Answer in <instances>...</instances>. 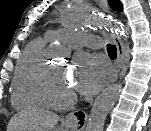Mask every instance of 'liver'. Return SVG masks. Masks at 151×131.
<instances>
[{
  "label": "liver",
  "mask_w": 151,
  "mask_h": 131,
  "mask_svg": "<svg viewBox=\"0 0 151 131\" xmlns=\"http://www.w3.org/2000/svg\"><path fill=\"white\" fill-rule=\"evenodd\" d=\"M59 117L44 109H32L15 114L9 121L7 131H52Z\"/></svg>",
  "instance_id": "obj_1"
}]
</instances>
